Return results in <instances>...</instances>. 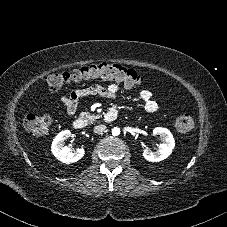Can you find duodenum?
<instances>
[{
  "label": "duodenum",
  "mask_w": 227,
  "mask_h": 227,
  "mask_svg": "<svg viewBox=\"0 0 227 227\" xmlns=\"http://www.w3.org/2000/svg\"><path fill=\"white\" fill-rule=\"evenodd\" d=\"M116 118H117V112H116V110L112 109L104 115L103 121L106 123H109V122L114 121ZM85 125H86L85 120L82 118L76 119L73 122V126L77 130L83 129L85 127Z\"/></svg>",
  "instance_id": "obj_1"
}]
</instances>
